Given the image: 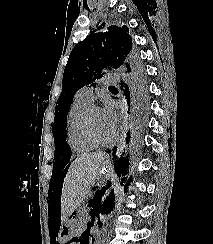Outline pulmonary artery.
Instances as JSON below:
<instances>
[{"instance_id": "e3ab8cb5", "label": "pulmonary artery", "mask_w": 213, "mask_h": 244, "mask_svg": "<svg viewBox=\"0 0 213 244\" xmlns=\"http://www.w3.org/2000/svg\"><path fill=\"white\" fill-rule=\"evenodd\" d=\"M104 83H115L117 82V76L115 74H107L103 77ZM77 95L87 101L92 102L94 99L92 89L90 87L81 88Z\"/></svg>"}]
</instances>
